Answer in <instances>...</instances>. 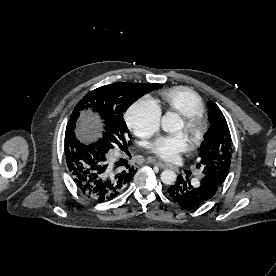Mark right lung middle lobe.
I'll return each mask as SVG.
<instances>
[{
    "label": "right lung middle lobe",
    "mask_w": 276,
    "mask_h": 276,
    "mask_svg": "<svg viewBox=\"0 0 276 276\" xmlns=\"http://www.w3.org/2000/svg\"><path fill=\"white\" fill-rule=\"evenodd\" d=\"M161 88L160 84H136L119 82L105 85L87 93L75 106L67 129L73 133L75 122L83 111H92L103 120L104 131L97 141L104 153L115 145L127 144L131 135L123 120V112L144 94Z\"/></svg>",
    "instance_id": "obj_1"
}]
</instances>
